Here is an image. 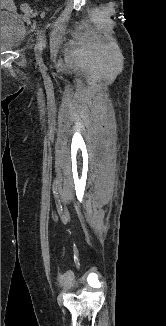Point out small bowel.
<instances>
[{"instance_id":"c3829d8e","label":"small bowel","mask_w":166,"mask_h":326,"mask_svg":"<svg viewBox=\"0 0 166 326\" xmlns=\"http://www.w3.org/2000/svg\"><path fill=\"white\" fill-rule=\"evenodd\" d=\"M1 8L16 11V6L13 0H1Z\"/></svg>"}]
</instances>
